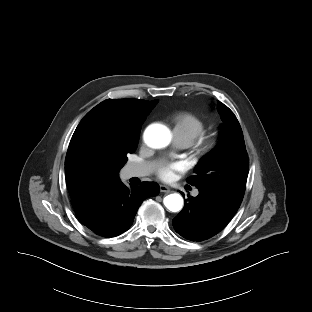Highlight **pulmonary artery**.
Listing matches in <instances>:
<instances>
[{
	"label": "pulmonary artery",
	"mask_w": 312,
	"mask_h": 312,
	"mask_svg": "<svg viewBox=\"0 0 312 312\" xmlns=\"http://www.w3.org/2000/svg\"><path fill=\"white\" fill-rule=\"evenodd\" d=\"M175 143L179 147H187L189 143L181 138L175 137ZM154 164L151 162L147 163H135L128 166L127 175L128 177H143L148 175L153 170ZM198 191L193 192L194 196L198 195Z\"/></svg>",
	"instance_id": "1"
}]
</instances>
